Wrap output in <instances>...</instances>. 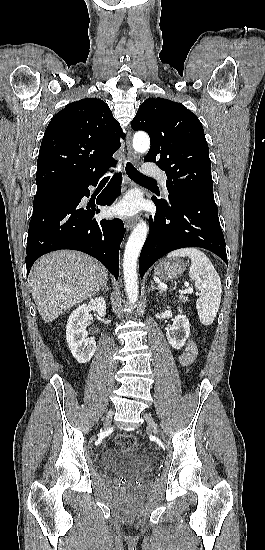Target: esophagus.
Returning <instances> with one entry per match:
<instances>
[{
  "label": "esophagus",
  "instance_id": "esophagus-1",
  "mask_svg": "<svg viewBox=\"0 0 265 550\" xmlns=\"http://www.w3.org/2000/svg\"><path fill=\"white\" fill-rule=\"evenodd\" d=\"M126 147H127V156L129 161L136 163L137 162V155L133 152L132 144H131V132L129 131L127 133L126 137ZM137 222V218L135 219H128L125 221V228L127 231L131 230L134 225Z\"/></svg>",
  "mask_w": 265,
  "mask_h": 550
}]
</instances>
